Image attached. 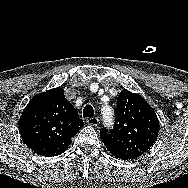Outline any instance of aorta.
<instances>
[{
  "instance_id": "aorta-1",
  "label": "aorta",
  "mask_w": 188,
  "mask_h": 188,
  "mask_svg": "<svg viewBox=\"0 0 188 188\" xmlns=\"http://www.w3.org/2000/svg\"><path fill=\"white\" fill-rule=\"evenodd\" d=\"M102 119H103V122L107 126H110V125L113 124V121H114V112H113V109L111 107H106V108L103 109Z\"/></svg>"
}]
</instances>
